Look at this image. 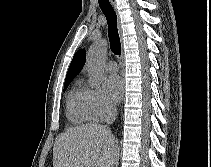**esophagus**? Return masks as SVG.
Listing matches in <instances>:
<instances>
[{
    "mask_svg": "<svg viewBox=\"0 0 211 167\" xmlns=\"http://www.w3.org/2000/svg\"><path fill=\"white\" fill-rule=\"evenodd\" d=\"M112 6L114 7V9H116V0H110ZM122 78H123V85H124V73H123V70H122ZM123 96H124V90H123Z\"/></svg>",
    "mask_w": 211,
    "mask_h": 167,
    "instance_id": "34e87169",
    "label": "esophagus"
}]
</instances>
